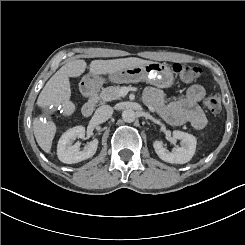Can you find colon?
<instances>
[{
  "label": "colon",
  "mask_w": 245,
  "mask_h": 245,
  "mask_svg": "<svg viewBox=\"0 0 245 245\" xmlns=\"http://www.w3.org/2000/svg\"><path fill=\"white\" fill-rule=\"evenodd\" d=\"M172 70L186 81H192L197 79L202 70L199 67L190 66L187 64L176 63L172 66ZM203 104L205 108L213 114H217L221 111V99L217 95H210L204 98Z\"/></svg>",
  "instance_id": "obj_1"
}]
</instances>
